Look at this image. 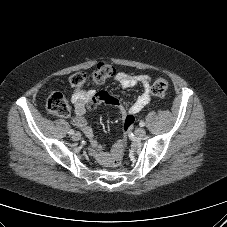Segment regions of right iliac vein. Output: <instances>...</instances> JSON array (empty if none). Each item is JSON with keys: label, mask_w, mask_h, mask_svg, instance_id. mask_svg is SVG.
Listing matches in <instances>:
<instances>
[{"label": "right iliac vein", "mask_w": 227, "mask_h": 227, "mask_svg": "<svg viewBox=\"0 0 227 227\" xmlns=\"http://www.w3.org/2000/svg\"><path fill=\"white\" fill-rule=\"evenodd\" d=\"M72 139L74 141H79L81 139V134L79 132L73 134Z\"/></svg>", "instance_id": "obj_1"}]
</instances>
